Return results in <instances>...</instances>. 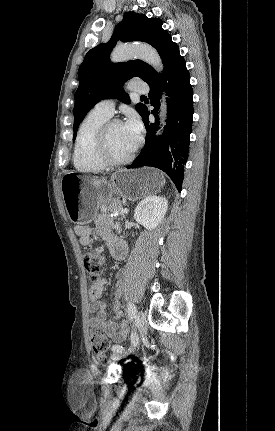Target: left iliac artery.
<instances>
[{
  "mask_svg": "<svg viewBox=\"0 0 275 431\" xmlns=\"http://www.w3.org/2000/svg\"><path fill=\"white\" fill-rule=\"evenodd\" d=\"M127 308H128V317L131 321H134L137 319V311H136V307L135 305L129 301L127 304ZM138 343V339L135 333L131 334V345L132 347H135ZM112 350L115 352H122L124 351V347L122 345H114L112 347Z\"/></svg>",
  "mask_w": 275,
  "mask_h": 431,
  "instance_id": "44dca946",
  "label": "left iliac artery"
}]
</instances>
